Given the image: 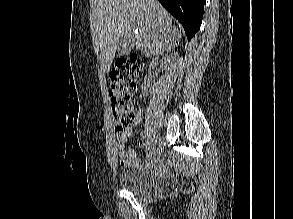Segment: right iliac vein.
Here are the masks:
<instances>
[{"instance_id":"obj_1","label":"right iliac vein","mask_w":293,"mask_h":219,"mask_svg":"<svg viewBox=\"0 0 293 219\" xmlns=\"http://www.w3.org/2000/svg\"><path fill=\"white\" fill-rule=\"evenodd\" d=\"M155 143H156V138H155V136H152V137L147 141V146H148V148L154 146Z\"/></svg>"}]
</instances>
